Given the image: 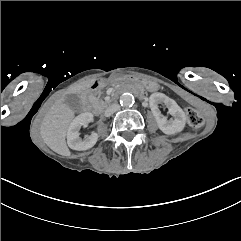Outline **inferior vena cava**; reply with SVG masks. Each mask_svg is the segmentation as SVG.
<instances>
[{"mask_svg":"<svg viewBox=\"0 0 241 241\" xmlns=\"http://www.w3.org/2000/svg\"><path fill=\"white\" fill-rule=\"evenodd\" d=\"M120 110V105L119 104H112L111 106H109L105 112L104 115L106 117H110L112 114H114L115 112Z\"/></svg>","mask_w":241,"mask_h":241,"instance_id":"obj_1","label":"inferior vena cava"}]
</instances>
